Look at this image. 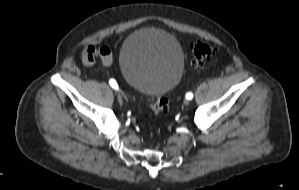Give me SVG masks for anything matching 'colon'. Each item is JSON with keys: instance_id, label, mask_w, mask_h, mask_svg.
<instances>
[{"instance_id": "5ec220e1", "label": "colon", "mask_w": 299, "mask_h": 190, "mask_svg": "<svg viewBox=\"0 0 299 190\" xmlns=\"http://www.w3.org/2000/svg\"><path fill=\"white\" fill-rule=\"evenodd\" d=\"M218 59L219 53L216 47L207 43L198 42L193 46L190 65L192 67H199L205 63L217 61ZM84 62L91 64L93 61L92 58L88 56ZM150 108L152 113L156 116L167 112L169 110V99L166 96L155 97L151 101Z\"/></svg>"}]
</instances>
